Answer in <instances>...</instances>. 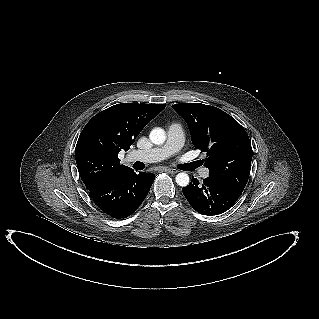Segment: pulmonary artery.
Returning a JSON list of instances; mask_svg holds the SVG:
<instances>
[{
    "label": "pulmonary artery",
    "mask_w": 319,
    "mask_h": 319,
    "mask_svg": "<svg viewBox=\"0 0 319 319\" xmlns=\"http://www.w3.org/2000/svg\"><path fill=\"white\" fill-rule=\"evenodd\" d=\"M183 143L184 133L182 126L179 123H173L168 128L167 140L162 146L149 150H136L131 153V156L142 162H157L179 152L183 147ZM200 174L202 178H207L209 170L203 168Z\"/></svg>",
    "instance_id": "1"
}]
</instances>
